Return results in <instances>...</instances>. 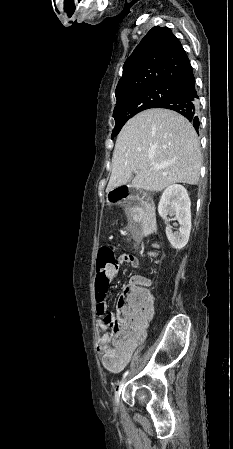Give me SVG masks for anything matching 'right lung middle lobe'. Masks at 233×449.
Instances as JSON below:
<instances>
[{
	"instance_id": "dd1d6c3e",
	"label": "right lung middle lobe",
	"mask_w": 233,
	"mask_h": 449,
	"mask_svg": "<svg viewBox=\"0 0 233 449\" xmlns=\"http://www.w3.org/2000/svg\"><path fill=\"white\" fill-rule=\"evenodd\" d=\"M176 95L177 91L173 86L154 85L117 98V104L113 114L115 128L111 137L114 138L124 124L137 113L146 109L155 108L160 103L174 98Z\"/></svg>"
}]
</instances>
